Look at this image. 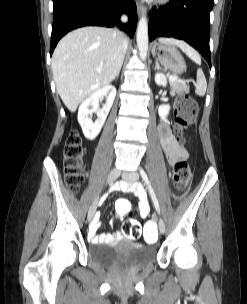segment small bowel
<instances>
[{
	"label": "small bowel",
	"instance_id": "obj_1",
	"mask_svg": "<svg viewBox=\"0 0 247 304\" xmlns=\"http://www.w3.org/2000/svg\"><path fill=\"white\" fill-rule=\"evenodd\" d=\"M159 138L162 149L165 153L166 159L170 165H174L179 158L185 157L186 153L182 151L171 131L169 122L167 120L162 121L158 127ZM121 189L134 193L139 199V214L142 218L147 217L150 212V204L145 190L137 185H131L128 183H122ZM100 227L99 219L96 218L92 228L88 234V238L93 243H100L110 241L119 237V235L110 234H97V230Z\"/></svg>",
	"mask_w": 247,
	"mask_h": 304
}]
</instances>
